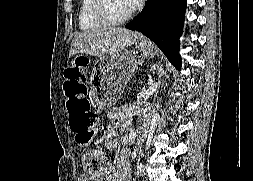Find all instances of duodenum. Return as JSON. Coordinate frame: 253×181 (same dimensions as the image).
<instances>
[{
	"label": "duodenum",
	"mask_w": 253,
	"mask_h": 181,
	"mask_svg": "<svg viewBox=\"0 0 253 181\" xmlns=\"http://www.w3.org/2000/svg\"><path fill=\"white\" fill-rule=\"evenodd\" d=\"M146 131L145 130H142L141 131V136L145 135Z\"/></svg>",
	"instance_id": "obj_1"
}]
</instances>
